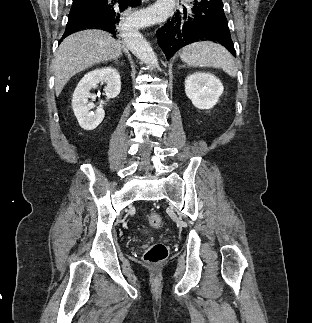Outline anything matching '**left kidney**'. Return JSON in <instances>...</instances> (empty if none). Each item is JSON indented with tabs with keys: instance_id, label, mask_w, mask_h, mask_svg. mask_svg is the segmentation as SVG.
Listing matches in <instances>:
<instances>
[{
	"instance_id": "5707ae66",
	"label": "left kidney",
	"mask_w": 312,
	"mask_h": 323,
	"mask_svg": "<svg viewBox=\"0 0 312 323\" xmlns=\"http://www.w3.org/2000/svg\"><path fill=\"white\" fill-rule=\"evenodd\" d=\"M223 90L220 80L206 72H196L187 76L185 80V94L199 110L213 108L223 94Z\"/></svg>"
}]
</instances>
